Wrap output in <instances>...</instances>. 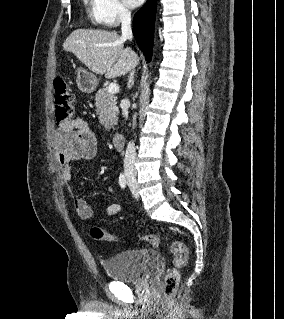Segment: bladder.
I'll list each match as a JSON object with an SVG mask.
<instances>
[{
	"label": "bladder",
	"instance_id": "1",
	"mask_svg": "<svg viewBox=\"0 0 284 319\" xmlns=\"http://www.w3.org/2000/svg\"><path fill=\"white\" fill-rule=\"evenodd\" d=\"M160 263L154 249H134L119 252L103 262L108 276L120 282H137L150 275Z\"/></svg>",
	"mask_w": 284,
	"mask_h": 319
}]
</instances>
